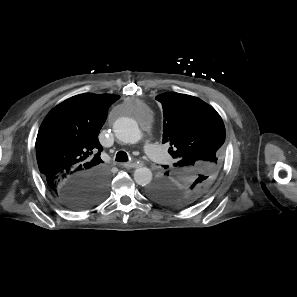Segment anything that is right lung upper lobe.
<instances>
[{"mask_svg":"<svg viewBox=\"0 0 297 297\" xmlns=\"http://www.w3.org/2000/svg\"><path fill=\"white\" fill-rule=\"evenodd\" d=\"M118 99L111 94L76 95L46 116L36 139L37 162L53 194L80 175L106 172L98 134Z\"/></svg>","mask_w":297,"mask_h":297,"instance_id":"1","label":"right lung upper lobe"}]
</instances>
